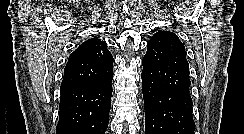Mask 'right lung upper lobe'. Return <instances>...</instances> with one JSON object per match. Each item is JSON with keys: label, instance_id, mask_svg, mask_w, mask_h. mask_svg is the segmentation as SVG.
<instances>
[{"label": "right lung upper lobe", "instance_id": "1", "mask_svg": "<svg viewBox=\"0 0 244 134\" xmlns=\"http://www.w3.org/2000/svg\"><path fill=\"white\" fill-rule=\"evenodd\" d=\"M113 74V56L98 38L83 42L70 56L61 89L100 82Z\"/></svg>", "mask_w": 244, "mask_h": 134}]
</instances>
